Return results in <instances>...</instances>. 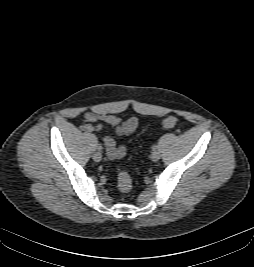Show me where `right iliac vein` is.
I'll return each mask as SVG.
<instances>
[{"label":"right iliac vein","mask_w":254,"mask_h":267,"mask_svg":"<svg viewBox=\"0 0 254 267\" xmlns=\"http://www.w3.org/2000/svg\"><path fill=\"white\" fill-rule=\"evenodd\" d=\"M93 159L94 161L99 162L102 159V154L100 152H95L93 154Z\"/></svg>","instance_id":"right-iliac-vein-1"}]
</instances>
